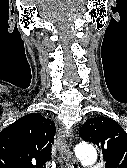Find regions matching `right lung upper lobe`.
I'll return each mask as SVG.
<instances>
[{
  "label": "right lung upper lobe",
  "instance_id": "1",
  "mask_svg": "<svg viewBox=\"0 0 127 168\" xmlns=\"http://www.w3.org/2000/svg\"><path fill=\"white\" fill-rule=\"evenodd\" d=\"M56 127L41 114H27L0 132V168H45Z\"/></svg>",
  "mask_w": 127,
  "mask_h": 168
}]
</instances>
